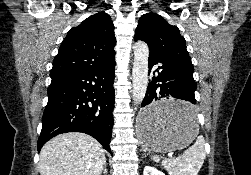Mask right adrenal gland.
Segmentation results:
<instances>
[{
  "mask_svg": "<svg viewBox=\"0 0 251 175\" xmlns=\"http://www.w3.org/2000/svg\"><path fill=\"white\" fill-rule=\"evenodd\" d=\"M102 171H103L104 175H106V173H107V163H104V167H103Z\"/></svg>",
  "mask_w": 251,
  "mask_h": 175,
  "instance_id": "right-adrenal-gland-1",
  "label": "right adrenal gland"
}]
</instances>
